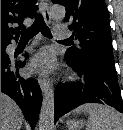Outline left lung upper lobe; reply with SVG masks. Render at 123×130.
Masks as SVG:
<instances>
[{"label": "left lung upper lobe", "instance_id": "left-lung-upper-lobe-1", "mask_svg": "<svg viewBox=\"0 0 123 130\" xmlns=\"http://www.w3.org/2000/svg\"><path fill=\"white\" fill-rule=\"evenodd\" d=\"M65 6V21L74 30L78 45L65 56L76 61L98 62L114 68L109 13L104 0H52Z\"/></svg>", "mask_w": 123, "mask_h": 130}]
</instances>
